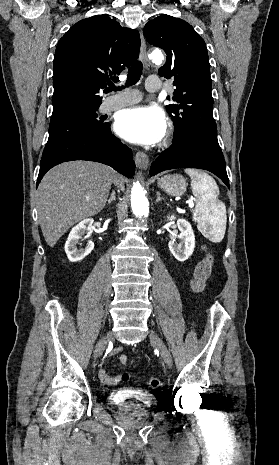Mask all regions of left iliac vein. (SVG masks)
<instances>
[{
  "label": "left iliac vein",
  "instance_id": "left-iliac-vein-1",
  "mask_svg": "<svg viewBox=\"0 0 279 465\" xmlns=\"http://www.w3.org/2000/svg\"><path fill=\"white\" fill-rule=\"evenodd\" d=\"M150 340L154 344V346L159 350L161 357L163 358L164 362L171 367L172 366V357L167 349L166 345L163 341L159 338V336L155 333V331H150Z\"/></svg>",
  "mask_w": 279,
  "mask_h": 465
}]
</instances>
